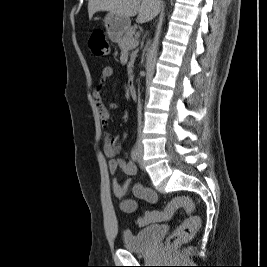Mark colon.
<instances>
[{"mask_svg": "<svg viewBox=\"0 0 267 267\" xmlns=\"http://www.w3.org/2000/svg\"><path fill=\"white\" fill-rule=\"evenodd\" d=\"M89 47L97 56H107L110 53V45L101 31H95L89 38ZM178 209H183L189 216L167 238L168 246H176L193 238L200 226V218L194 215L195 205L188 196H178L167 203L162 210L146 211L138 220L140 226L155 222L165 221L171 218Z\"/></svg>", "mask_w": 267, "mask_h": 267, "instance_id": "obj_1", "label": "colon"}]
</instances>
